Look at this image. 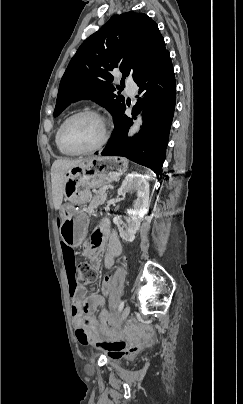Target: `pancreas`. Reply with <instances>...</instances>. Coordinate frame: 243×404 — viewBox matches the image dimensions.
<instances>
[{"instance_id":"cf45deb5","label":"pancreas","mask_w":243,"mask_h":404,"mask_svg":"<svg viewBox=\"0 0 243 404\" xmlns=\"http://www.w3.org/2000/svg\"><path fill=\"white\" fill-rule=\"evenodd\" d=\"M96 196L92 198L88 208H86L85 212H87L88 216H95L96 210L98 206H101V204H104L106 198H107V192L106 190H102L101 186H99V191L98 193H94Z\"/></svg>"}]
</instances>
